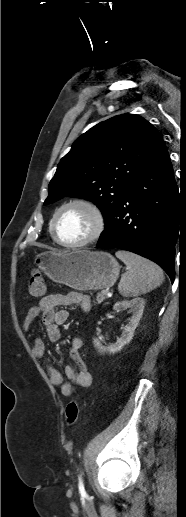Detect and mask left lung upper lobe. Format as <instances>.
Listing matches in <instances>:
<instances>
[{"mask_svg":"<svg viewBox=\"0 0 186 517\" xmlns=\"http://www.w3.org/2000/svg\"><path fill=\"white\" fill-rule=\"evenodd\" d=\"M162 143L159 132L135 114L95 125L61 159L44 205L64 195L82 197L100 208L106 224Z\"/></svg>","mask_w":186,"mask_h":517,"instance_id":"left-lung-upper-lobe-1","label":"left lung upper lobe"}]
</instances>
